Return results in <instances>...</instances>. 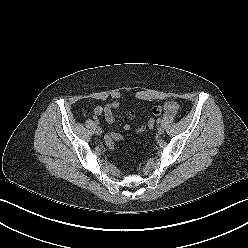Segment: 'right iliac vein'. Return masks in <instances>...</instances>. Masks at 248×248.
I'll list each match as a JSON object with an SVG mask.
<instances>
[{"label": "right iliac vein", "mask_w": 248, "mask_h": 248, "mask_svg": "<svg viewBox=\"0 0 248 248\" xmlns=\"http://www.w3.org/2000/svg\"><path fill=\"white\" fill-rule=\"evenodd\" d=\"M94 131H95L96 135H100L102 133V130H101V128L99 126L95 127Z\"/></svg>", "instance_id": "1"}]
</instances>
